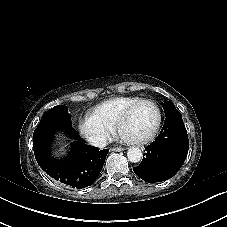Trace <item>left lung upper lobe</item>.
Returning a JSON list of instances; mask_svg holds the SVG:
<instances>
[{
  "instance_id": "left-lung-upper-lobe-1",
  "label": "left lung upper lobe",
  "mask_w": 227,
  "mask_h": 227,
  "mask_svg": "<svg viewBox=\"0 0 227 227\" xmlns=\"http://www.w3.org/2000/svg\"><path fill=\"white\" fill-rule=\"evenodd\" d=\"M166 118L168 117H176L182 118L180 112L176 109V107L170 102L162 103Z\"/></svg>"
}]
</instances>
